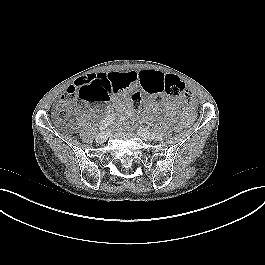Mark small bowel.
I'll return each instance as SVG.
<instances>
[{
  "mask_svg": "<svg viewBox=\"0 0 265 265\" xmlns=\"http://www.w3.org/2000/svg\"><path fill=\"white\" fill-rule=\"evenodd\" d=\"M168 75L159 70H142V71H128V72H112V73H98L85 77L87 78H101L106 81L109 85L111 91L117 95L121 96L134 88L141 87L148 93H151L156 89V87L162 84L165 76ZM114 103L125 110L130 112L132 107L129 103H121L117 98L113 99ZM179 103L166 99L159 106L155 102H150L146 108L147 112L152 114H157L160 111H165L169 115H174L179 109ZM90 113H84L77 119V124H81L89 119Z\"/></svg>",
  "mask_w": 265,
  "mask_h": 265,
  "instance_id": "small-bowel-1",
  "label": "small bowel"
}]
</instances>
